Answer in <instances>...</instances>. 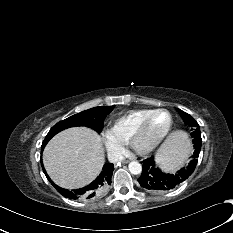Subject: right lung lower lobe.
Listing matches in <instances>:
<instances>
[{
  "mask_svg": "<svg viewBox=\"0 0 233 233\" xmlns=\"http://www.w3.org/2000/svg\"><path fill=\"white\" fill-rule=\"evenodd\" d=\"M45 146L41 147V150L43 151ZM42 164V161H41ZM43 171L48 178V180L51 182V184L58 190V192L63 195L66 198L69 199H90L94 196H97L101 194L108 185L111 184V177L113 174L114 170V165L113 164H105L103 167L102 172L100 175L89 185H87L84 188L76 189V190H67L64 188H61L57 186L55 183L51 181V179L48 177L43 164H42Z\"/></svg>",
  "mask_w": 233,
  "mask_h": 233,
  "instance_id": "1",
  "label": "right lung lower lobe"
}]
</instances>
